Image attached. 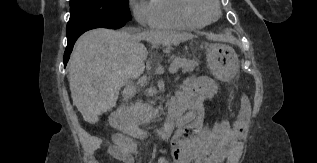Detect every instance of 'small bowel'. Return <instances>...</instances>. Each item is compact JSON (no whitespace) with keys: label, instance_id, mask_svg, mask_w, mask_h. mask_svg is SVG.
<instances>
[{"label":"small bowel","instance_id":"obj_1","mask_svg":"<svg viewBox=\"0 0 317 163\" xmlns=\"http://www.w3.org/2000/svg\"><path fill=\"white\" fill-rule=\"evenodd\" d=\"M218 90L217 83L210 78L191 80L177 91L170 102L169 112L177 115V132L171 139L173 163H217L221 158L230 156L234 162L238 146V133L248 122L250 105L246 98L241 101V108L235 127L221 122L211 129L203 127V103L212 99ZM137 145L130 139L122 141L118 148L112 147L111 155L122 163H134ZM157 163H169L159 158Z\"/></svg>","mask_w":317,"mask_h":163}]
</instances>
